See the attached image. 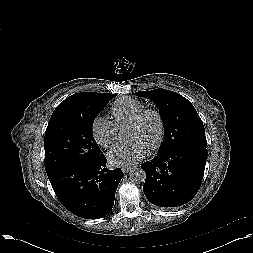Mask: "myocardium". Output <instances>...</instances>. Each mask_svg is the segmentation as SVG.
<instances>
[{
	"instance_id": "obj_1",
	"label": "myocardium",
	"mask_w": 253,
	"mask_h": 253,
	"mask_svg": "<svg viewBox=\"0 0 253 253\" xmlns=\"http://www.w3.org/2000/svg\"><path fill=\"white\" fill-rule=\"evenodd\" d=\"M154 115L158 121V132L153 143L148 147L149 150H155L159 147L163 140L165 125L161 113L155 108H144L141 110L127 125L128 127H135L141 123V121L147 115Z\"/></svg>"
}]
</instances>
